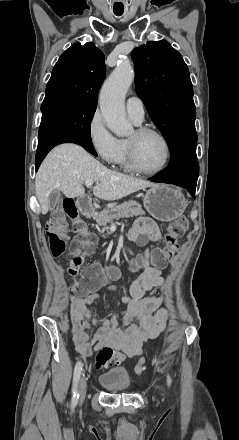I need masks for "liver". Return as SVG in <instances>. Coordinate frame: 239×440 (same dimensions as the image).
I'll return each mask as SVG.
<instances>
[{
	"instance_id": "6515ba94",
	"label": "liver",
	"mask_w": 239,
	"mask_h": 440,
	"mask_svg": "<svg viewBox=\"0 0 239 440\" xmlns=\"http://www.w3.org/2000/svg\"><path fill=\"white\" fill-rule=\"evenodd\" d=\"M86 180L99 182L93 188L100 200H120L145 188H157L158 184L138 180L120 172L108 170L86 150L75 144L56 146L42 162L35 178L36 196L41 214L48 212V196L53 190H61L66 198H81Z\"/></svg>"
}]
</instances>
